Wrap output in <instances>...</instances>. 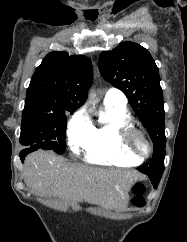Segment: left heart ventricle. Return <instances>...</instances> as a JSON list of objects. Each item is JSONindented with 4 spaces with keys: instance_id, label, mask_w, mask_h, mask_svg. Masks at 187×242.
<instances>
[{
    "instance_id": "1",
    "label": "left heart ventricle",
    "mask_w": 187,
    "mask_h": 242,
    "mask_svg": "<svg viewBox=\"0 0 187 242\" xmlns=\"http://www.w3.org/2000/svg\"><path fill=\"white\" fill-rule=\"evenodd\" d=\"M132 147L134 149V151L139 154V155H144L146 154L148 148H147V144L145 143V141L139 137L136 136L132 139Z\"/></svg>"
}]
</instances>
